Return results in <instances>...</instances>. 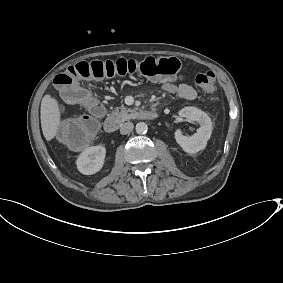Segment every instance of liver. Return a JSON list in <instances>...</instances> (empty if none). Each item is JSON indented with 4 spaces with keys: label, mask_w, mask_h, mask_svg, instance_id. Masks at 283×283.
<instances>
[{
    "label": "liver",
    "mask_w": 283,
    "mask_h": 283,
    "mask_svg": "<svg viewBox=\"0 0 283 283\" xmlns=\"http://www.w3.org/2000/svg\"><path fill=\"white\" fill-rule=\"evenodd\" d=\"M62 111L60 102L51 93H46L41 101V126L46 141H52L59 130Z\"/></svg>",
    "instance_id": "1"
}]
</instances>
